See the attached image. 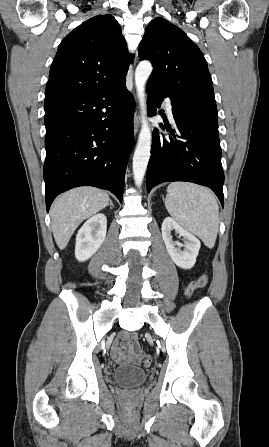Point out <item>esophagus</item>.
Here are the masks:
<instances>
[{
  "mask_svg": "<svg viewBox=\"0 0 269 447\" xmlns=\"http://www.w3.org/2000/svg\"><path fill=\"white\" fill-rule=\"evenodd\" d=\"M137 60V52H136V59H135V63ZM139 126H140V116L139 114H135L134 115V135L136 136L138 131H139Z\"/></svg>",
  "mask_w": 269,
  "mask_h": 447,
  "instance_id": "34e87169",
  "label": "esophagus"
}]
</instances>
